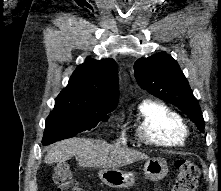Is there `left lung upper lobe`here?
Here are the masks:
<instances>
[{
	"label": "left lung upper lobe",
	"mask_w": 221,
	"mask_h": 191,
	"mask_svg": "<svg viewBox=\"0 0 221 191\" xmlns=\"http://www.w3.org/2000/svg\"><path fill=\"white\" fill-rule=\"evenodd\" d=\"M134 70L140 87L181 109L200 131H204L205 122L199 102L178 63L171 56L160 52L140 58L135 62Z\"/></svg>",
	"instance_id": "left-lung-upper-lobe-1"
}]
</instances>
